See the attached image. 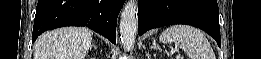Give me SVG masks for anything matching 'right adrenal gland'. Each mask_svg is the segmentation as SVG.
Wrapping results in <instances>:
<instances>
[{"label":"right adrenal gland","mask_w":261,"mask_h":59,"mask_svg":"<svg viewBox=\"0 0 261 59\" xmlns=\"http://www.w3.org/2000/svg\"><path fill=\"white\" fill-rule=\"evenodd\" d=\"M95 49H96V46L95 45H92Z\"/></svg>","instance_id":"obj_1"}]
</instances>
